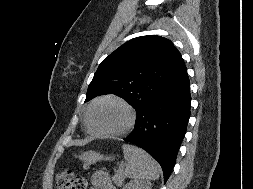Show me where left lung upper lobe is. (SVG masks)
Here are the masks:
<instances>
[{
  "label": "left lung upper lobe",
  "instance_id": "1",
  "mask_svg": "<svg viewBox=\"0 0 253 189\" xmlns=\"http://www.w3.org/2000/svg\"><path fill=\"white\" fill-rule=\"evenodd\" d=\"M184 67L180 52L170 40L156 35L132 39L101 62L88 86L85 101L115 94L126 99L138 112Z\"/></svg>",
  "mask_w": 253,
  "mask_h": 189
}]
</instances>
